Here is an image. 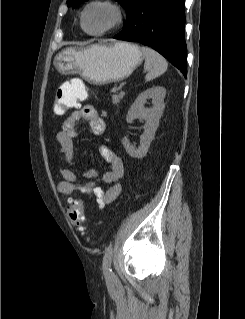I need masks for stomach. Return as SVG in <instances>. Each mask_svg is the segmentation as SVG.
Listing matches in <instances>:
<instances>
[{
    "label": "stomach",
    "mask_w": 245,
    "mask_h": 319,
    "mask_svg": "<svg viewBox=\"0 0 245 319\" xmlns=\"http://www.w3.org/2000/svg\"><path fill=\"white\" fill-rule=\"evenodd\" d=\"M142 60L138 45L110 42L66 48L56 55L54 66L61 74H79L93 84L103 85L125 79Z\"/></svg>",
    "instance_id": "0dacf381"
}]
</instances>
